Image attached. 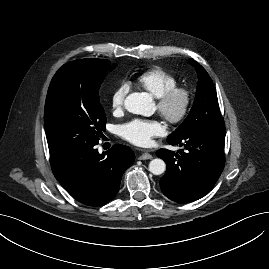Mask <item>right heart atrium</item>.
I'll return each mask as SVG.
<instances>
[{"mask_svg": "<svg viewBox=\"0 0 269 269\" xmlns=\"http://www.w3.org/2000/svg\"><path fill=\"white\" fill-rule=\"evenodd\" d=\"M129 92V85L125 82L120 83L111 93L109 104L113 112H120L125 103V99Z\"/></svg>", "mask_w": 269, "mask_h": 269, "instance_id": "obj_1", "label": "right heart atrium"}]
</instances>
